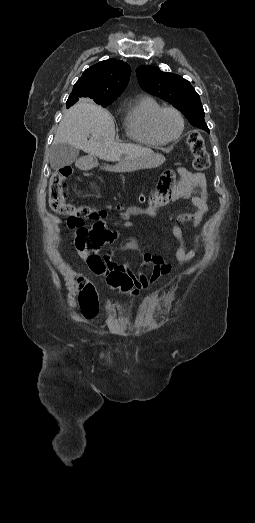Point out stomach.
I'll return each mask as SVG.
<instances>
[{"label": "stomach", "instance_id": "stomach-1", "mask_svg": "<svg viewBox=\"0 0 255 523\" xmlns=\"http://www.w3.org/2000/svg\"><path fill=\"white\" fill-rule=\"evenodd\" d=\"M165 164V159L161 157L158 151H146L144 158H135V160H126L123 164H120L121 172H135V170H145V168L161 167ZM112 175L119 173L117 166L110 168Z\"/></svg>", "mask_w": 255, "mask_h": 523}]
</instances>
